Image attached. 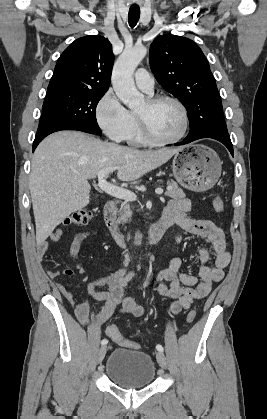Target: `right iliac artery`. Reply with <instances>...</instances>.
<instances>
[{
    "label": "right iliac artery",
    "instance_id": "82829eb1",
    "mask_svg": "<svg viewBox=\"0 0 267 419\" xmlns=\"http://www.w3.org/2000/svg\"><path fill=\"white\" fill-rule=\"evenodd\" d=\"M108 343V340L107 339H103L102 341H101V344L102 345H106Z\"/></svg>",
    "mask_w": 267,
    "mask_h": 419
}]
</instances>
